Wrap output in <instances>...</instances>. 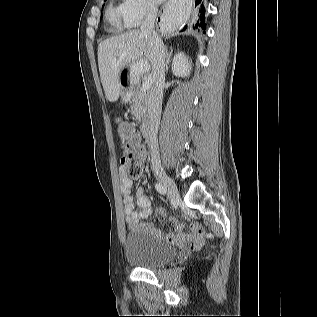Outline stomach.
I'll use <instances>...</instances> for the list:
<instances>
[{
    "label": "stomach",
    "mask_w": 317,
    "mask_h": 317,
    "mask_svg": "<svg viewBox=\"0 0 317 317\" xmlns=\"http://www.w3.org/2000/svg\"><path fill=\"white\" fill-rule=\"evenodd\" d=\"M146 65L145 59H132L126 68L119 72L118 89L120 94H123V100L126 101L125 94H131L130 88L137 86V83H141V76L137 74H146L147 68L142 67Z\"/></svg>",
    "instance_id": "1"
}]
</instances>
